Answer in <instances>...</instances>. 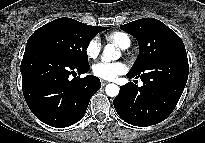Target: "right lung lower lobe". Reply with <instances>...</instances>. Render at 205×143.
I'll return each instance as SVG.
<instances>
[{
    "mask_svg": "<svg viewBox=\"0 0 205 143\" xmlns=\"http://www.w3.org/2000/svg\"><path fill=\"white\" fill-rule=\"evenodd\" d=\"M89 69V65L69 63L45 47L27 45L20 71L24 98L32 113L54 127L77 122L85 114L91 97L101 88L99 78L77 76Z\"/></svg>",
    "mask_w": 205,
    "mask_h": 143,
    "instance_id": "right-lung-lower-lobe-1",
    "label": "right lung lower lobe"
}]
</instances>
